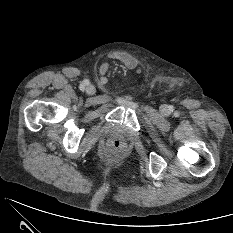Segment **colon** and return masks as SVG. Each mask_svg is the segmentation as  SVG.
<instances>
[{
  "mask_svg": "<svg viewBox=\"0 0 233 233\" xmlns=\"http://www.w3.org/2000/svg\"><path fill=\"white\" fill-rule=\"evenodd\" d=\"M110 145L114 150H118L123 146V143L119 139H114L111 141Z\"/></svg>",
  "mask_w": 233,
  "mask_h": 233,
  "instance_id": "5ec220e1",
  "label": "colon"
}]
</instances>
